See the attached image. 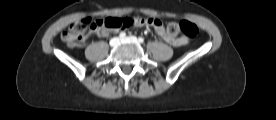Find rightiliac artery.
<instances>
[{
	"instance_id": "82829eb1",
	"label": "right iliac artery",
	"mask_w": 276,
	"mask_h": 120,
	"mask_svg": "<svg viewBox=\"0 0 276 120\" xmlns=\"http://www.w3.org/2000/svg\"><path fill=\"white\" fill-rule=\"evenodd\" d=\"M119 37H120V38H125V37H126V33H125V32H121V33L119 34Z\"/></svg>"
}]
</instances>
